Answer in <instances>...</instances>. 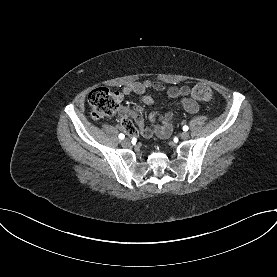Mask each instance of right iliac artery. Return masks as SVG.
I'll return each mask as SVG.
<instances>
[{
  "label": "right iliac artery",
  "instance_id": "82829eb1",
  "mask_svg": "<svg viewBox=\"0 0 277 277\" xmlns=\"http://www.w3.org/2000/svg\"><path fill=\"white\" fill-rule=\"evenodd\" d=\"M124 137H125L124 134H122V133L119 134V138H120V139H124Z\"/></svg>",
  "mask_w": 277,
  "mask_h": 277
}]
</instances>
